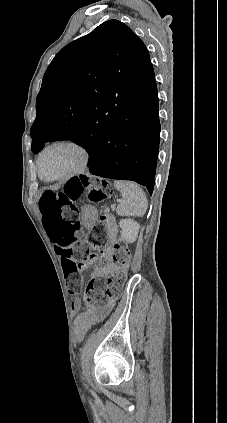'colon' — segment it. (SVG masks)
<instances>
[{
	"label": "colon",
	"mask_w": 227,
	"mask_h": 423,
	"mask_svg": "<svg viewBox=\"0 0 227 423\" xmlns=\"http://www.w3.org/2000/svg\"><path fill=\"white\" fill-rule=\"evenodd\" d=\"M89 191L92 201H99L110 194L106 183H98L85 177H76L62 188H50L42 191L39 198V210L43 225L50 239L57 245L61 264L70 294L80 292L83 273L89 269L93 253L88 245L102 247L107 244L109 229L114 225L111 215H103L93 227L87 243L73 247L75 238L80 233L79 211L76 205L80 196ZM131 254L122 243L114 246L113 260L120 265V270L108 278L93 277L85 288V302L90 311H98L112 299L121 296L127 278Z\"/></svg>",
	"instance_id": "colon-1"
}]
</instances>
